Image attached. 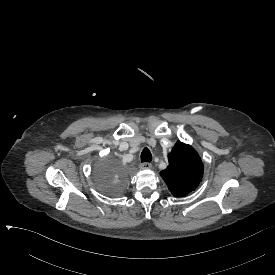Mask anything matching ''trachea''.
<instances>
[{
    "mask_svg": "<svg viewBox=\"0 0 275 275\" xmlns=\"http://www.w3.org/2000/svg\"><path fill=\"white\" fill-rule=\"evenodd\" d=\"M141 161L142 162H151L152 161V154L147 147H144L142 150Z\"/></svg>",
    "mask_w": 275,
    "mask_h": 275,
    "instance_id": "trachea-1",
    "label": "trachea"
}]
</instances>
